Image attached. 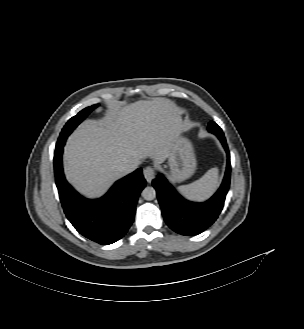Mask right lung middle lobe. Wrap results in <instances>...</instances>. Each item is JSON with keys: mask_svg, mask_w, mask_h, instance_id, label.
I'll list each match as a JSON object with an SVG mask.
<instances>
[{"mask_svg": "<svg viewBox=\"0 0 304 329\" xmlns=\"http://www.w3.org/2000/svg\"><path fill=\"white\" fill-rule=\"evenodd\" d=\"M98 105H92L80 111L77 115L72 117L64 126L57 141V145L62 144L66 141L67 137L70 133L89 115L91 111H93Z\"/></svg>", "mask_w": 304, "mask_h": 329, "instance_id": "obj_1", "label": "right lung middle lobe"}]
</instances>
